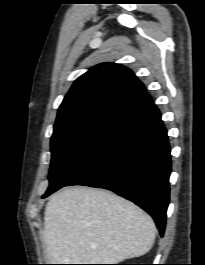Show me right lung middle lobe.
Returning <instances> with one entry per match:
<instances>
[{"mask_svg": "<svg viewBox=\"0 0 205 265\" xmlns=\"http://www.w3.org/2000/svg\"><path fill=\"white\" fill-rule=\"evenodd\" d=\"M124 125L97 123L81 128L53 133L51 138V165L49 196L73 178L121 132Z\"/></svg>", "mask_w": 205, "mask_h": 265, "instance_id": "obj_1", "label": "right lung middle lobe"}]
</instances>
